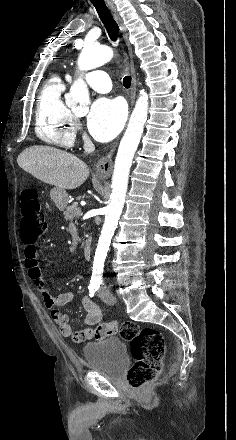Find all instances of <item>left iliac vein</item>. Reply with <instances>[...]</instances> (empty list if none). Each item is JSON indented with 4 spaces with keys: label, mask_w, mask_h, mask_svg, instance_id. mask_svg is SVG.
I'll return each instance as SVG.
<instances>
[{
    "label": "left iliac vein",
    "mask_w": 236,
    "mask_h": 440,
    "mask_svg": "<svg viewBox=\"0 0 236 440\" xmlns=\"http://www.w3.org/2000/svg\"><path fill=\"white\" fill-rule=\"evenodd\" d=\"M101 299L108 305H114L116 303V297L112 293H102L100 294Z\"/></svg>",
    "instance_id": "obj_1"
}]
</instances>
